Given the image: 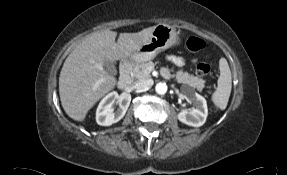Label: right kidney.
Wrapping results in <instances>:
<instances>
[{"mask_svg":"<svg viewBox=\"0 0 287 175\" xmlns=\"http://www.w3.org/2000/svg\"><path fill=\"white\" fill-rule=\"evenodd\" d=\"M118 101L119 107L114 111V103ZM131 95L122 93L118 95L113 91L107 94L99 103L96 111V122L101 126H110L121 120L130 105Z\"/></svg>","mask_w":287,"mask_h":175,"instance_id":"1","label":"right kidney"}]
</instances>
